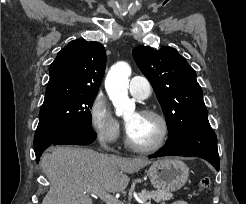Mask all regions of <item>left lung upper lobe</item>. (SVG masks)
<instances>
[{"label":"left lung upper lobe","mask_w":246,"mask_h":204,"mask_svg":"<svg viewBox=\"0 0 246 204\" xmlns=\"http://www.w3.org/2000/svg\"><path fill=\"white\" fill-rule=\"evenodd\" d=\"M133 57L156 92L169 137L188 127L209 123L196 73L174 48L137 46Z\"/></svg>","instance_id":"left-lung-upper-lobe-1"}]
</instances>
